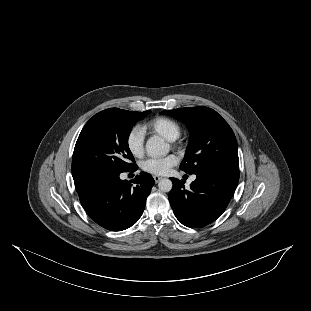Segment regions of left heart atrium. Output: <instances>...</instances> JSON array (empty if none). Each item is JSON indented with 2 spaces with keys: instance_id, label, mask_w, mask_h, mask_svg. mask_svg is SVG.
Instances as JSON below:
<instances>
[{
  "instance_id": "left-heart-atrium-1",
  "label": "left heart atrium",
  "mask_w": 311,
  "mask_h": 311,
  "mask_svg": "<svg viewBox=\"0 0 311 311\" xmlns=\"http://www.w3.org/2000/svg\"><path fill=\"white\" fill-rule=\"evenodd\" d=\"M178 162L179 158L177 155L168 154L164 157L148 158L144 160L141 163V169L143 172L150 175L166 176Z\"/></svg>"
}]
</instances>
